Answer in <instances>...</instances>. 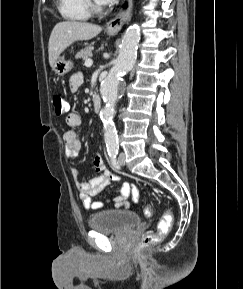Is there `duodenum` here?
Returning a JSON list of instances; mask_svg holds the SVG:
<instances>
[{"mask_svg": "<svg viewBox=\"0 0 243 289\" xmlns=\"http://www.w3.org/2000/svg\"><path fill=\"white\" fill-rule=\"evenodd\" d=\"M92 103H93V109L94 111L100 112L101 108H102V101L100 99V97L98 95H94L93 99H92Z\"/></svg>", "mask_w": 243, "mask_h": 289, "instance_id": "1", "label": "duodenum"}]
</instances>
